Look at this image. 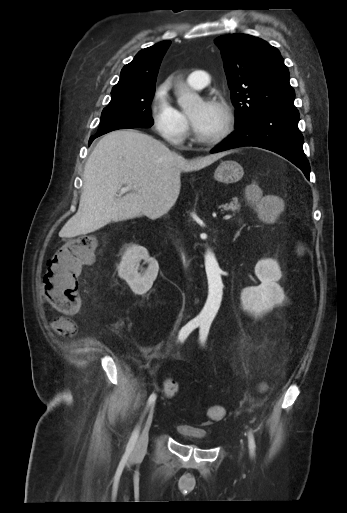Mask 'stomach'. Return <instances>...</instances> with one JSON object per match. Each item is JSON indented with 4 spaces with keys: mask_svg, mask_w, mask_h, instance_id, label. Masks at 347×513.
<instances>
[{
    "mask_svg": "<svg viewBox=\"0 0 347 513\" xmlns=\"http://www.w3.org/2000/svg\"><path fill=\"white\" fill-rule=\"evenodd\" d=\"M244 175L243 167L234 160H227L220 163L214 172V179L224 184L236 183Z\"/></svg>",
    "mask_w": 347,
    "mask_h": 513,
    "instance_id": "1",
    "label": "stomach"
}]
</instances>
